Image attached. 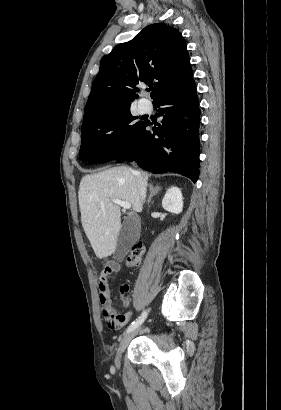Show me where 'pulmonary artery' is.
<instances>
[{
  "label": "pulmonary artery",
  "instance_id": "pulmonary-artery-1",
  "mask_svg": "<svg viewBox=\"0 0 281 410\" xmlns=\"http://www.w3.org/2000/svg\"><path fill=\"white\" fill-rule=\"evenodd\" d=\"M139 107L142 112H147L150 109V103L146 100H141L139 102Z\"/></svg>",
  "mask_w": 281,
  "mask_h": 410
}]
</instances>
